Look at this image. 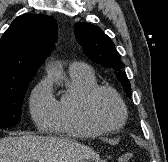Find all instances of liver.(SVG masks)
Instances as JSON below:
<instances>
[{
  "label": "liver",
  "mask_w": 168,
  "mask_h": 162,
  "mask_svg": "<svg viewBox=\"0 0 168 162\" xmlns=\"http://www.w3.org/2000/svg\"><path fill=\"white\" fill-rule=\"evenodd\" d=\"M99 159L90 147L59 138L29 134L0 139V162H85Z\"/></svg>",
  "instance_id": "obj_1"
}]
</instances>
